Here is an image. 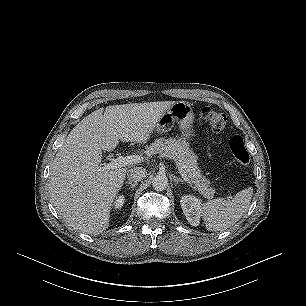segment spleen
<instances>
[{"instance_id":"obj_1","label":"spleen","mask_w":306,"mask_h":306,"mask_svg":"<svg viewBox=\"0 0 306 306\" xmlns=\"http://www.w3.org/2000/svg\"><path fill=\"white\" fill-rule=\"evenodd\" d=\"M253 188L239 191L232 200L216 198L200 206V213L209 231H223L233 226L248 210Z\"/></svg>"}]
</instances>
